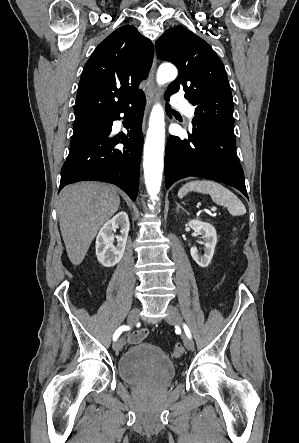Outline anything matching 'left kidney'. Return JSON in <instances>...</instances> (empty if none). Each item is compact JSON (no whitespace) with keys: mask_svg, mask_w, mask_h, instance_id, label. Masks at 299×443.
Returning <instances> with one entry per match:
<instances>
[{"mask_svg":"<svg viewBox=\"0 0 299 443\" xmlns=\"http://www.w3.org/2000/svg\"><path fill=\"white\" fill-rule=\"evenodd\" d=\"M188 225L197 234L201 235L204 244V254L200 255L196 247L190 249V253L194 261L200 267H207L211 262L214 254L215 246L217 243V233L215 228L207 222H202L200 220H191Z\"/></svg>","mask_w":299,"mask_h":443,"instance_id":"obj_1","label":"left kidney"}]
</instances>
